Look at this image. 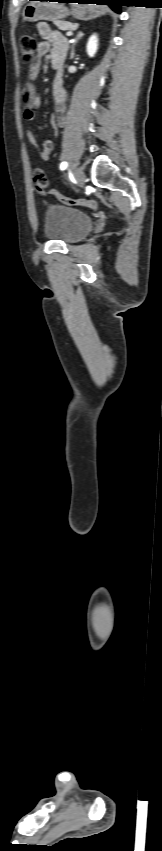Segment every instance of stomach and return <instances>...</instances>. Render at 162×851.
<instances>
[{
  "instance_id": "obj_1",
  "label": "stomach",
  "mask_w": 162,
  "mask_h": 851,
  "mask_svg": "<svg viewBox=\"0 0 162 851\" xmlns=\"http://www.w3.org/2000/svg\"><path fill=\"white\" fill-rule=\"evenodd\" d=\"M70 9L64 5L49 4L44 2H30L23 11L22 17L24 21L36 22L39 20L58 21L68 15H72L78 20H91L107 12V9L102 6L88 5L82 1H72Z\"/></svg>"
}]
</instances>
